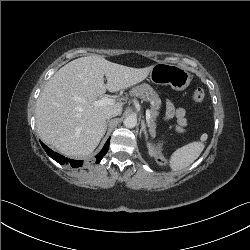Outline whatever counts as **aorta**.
I'll use <instances>...</instances> for the list:
<instances>
[{
	"instance_id": "aorta-1",
	"label": "aorta",
	"mask_w": 250,
	"mask_h": 250,
	"mask_svg": "<svg viewBox=\"0 0 250 250\" xmlns=\"http://www.w3.org/2000/svg\"><path fill=\"white\" fill-rule=\"evenodd\" d=\"M124 126L127 128H134L137 124V119L135 116H128L124 120Z\"/></svg>"
}]
</instances>
